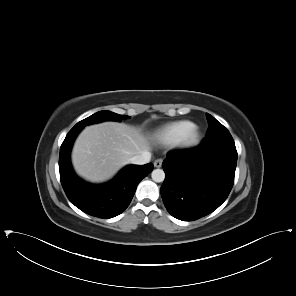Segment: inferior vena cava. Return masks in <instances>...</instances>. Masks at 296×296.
<instances>
[{"instance_id": "obj_1", "label": "inferior vena cava", "mask_w": 296, "mask_h": 296, "mask_svg": "<svg viewBox=\"0 0 296 296\" xmlns=\"http://www.w3.org/2000/svg\"><path fill=\"white\" fill-rule=\"evenodd\" d=\"M151 160V153L148 151L143 152L142 154L135 155L130 159V163L134 165H143Z\"/></svg>"}]
</instances>
